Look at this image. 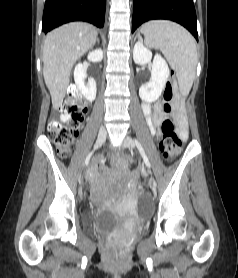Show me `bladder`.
Wrapping results in <instances>:
<instances>
[{
	"label": "bladder",
	"mask_w": 238,
	"mask_h": 278,
	"mask_svg": "<svg viewBox=\"0 0 238 278\" xmlns=\"http://www.w3.org/2000/svg\"><path fill=\"white\" fill-rule=\"evenodd\" d=\"M85 229L89 234L106 236L116 229V222L105 212L89 214Z\"/></svg>",
	"instance_id": "bladder-1"
}]
</instances>
